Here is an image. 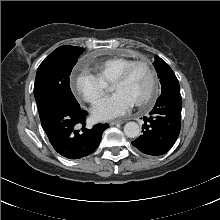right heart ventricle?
Wrapping results in <instances>:
<instances>
[{
	"label": "right heart ventricle",
	"mask_w": 220,
	"mask_h": 220,
	"mask_svg": "<svg viewBox=\"0 0 220 220\" xmlns=\"http://www.w3.org/2000/svg\"><path fill=\"white\" fill-rule=\"evenodd\" d=\"M134 61V59L126 57L109 58L97 64L94 70L97 77L104 83H113L116 78Z\"/></svg>",
	"instance_id": "e07e8e85"
}]
</instances>
